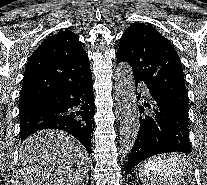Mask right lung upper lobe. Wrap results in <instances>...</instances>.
I'll return each instance as SVG.
<instances>
[{"label": "right lung upper lobe", "mask_w": 207, "mask_h": 185, "mask_svg": "<svg viewBox=\"0 0 207 185\" xmlns=\"http://www.w3.org/2000/svg\"><path fill=\"white\" fill-rule=\"evenodd\" d=\"M91 75L88 55L77 36L60 30L34 51L25 69L19 110L54 97L72 82Z\"/></svg>", "instance_id": "obj_1"}]
</instances>
